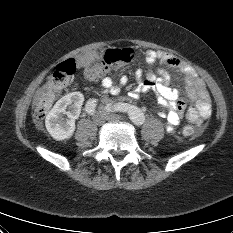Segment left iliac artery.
Returning <instances> with one entry per match:
<instances>
[{
    "label": "left iliac artery",
    "instance_id": "left-iliac-artery-1",
    "mask_svg": "<svg viewBox=\"0 0 233 233\" xmlns=\"http://www.w3.org/2000/svg\"><path fill=\"white\" fill-rule=\"evenodd\" d=\"M108 111L111 112H126L129 115V118L134 122L136 125H142L145 121V116L142 111L130 104L127 103H116L114 105L107 104L106 106Z\"/></svg>",
    "mask_w": 233,
    "mask_h": 233
}]
</instances>
